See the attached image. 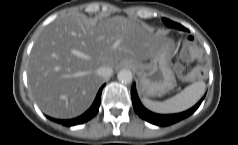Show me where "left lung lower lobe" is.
<instances>
[{"label":"left lung lower lobe","mask_w":238,"mask_h":145,"mask_svg":"<svg viewBox=\"0 0 238 145\" xmlns=\"http://www.w3.org/2000/svg\"><path fill=\"white\" fill-rule=\"evenodd\" d=\"M178 29L187 31V29L180 24H178ZM131 98H132L134 110L139 115V117L158 126H169L171 124L181 121L182 119L187 118L188 116H190L192 113H194L197 110V108L200 106L201 102L203 101V98H202L194 107L182 113L160 115V114H155L150 112L141 104L136 92L135 83L133 84L131 88Z\"/></svg>","instance_id":"obj_1"}]
</instances>
